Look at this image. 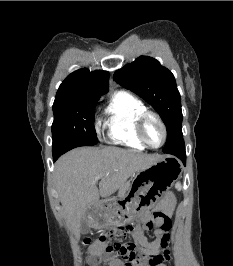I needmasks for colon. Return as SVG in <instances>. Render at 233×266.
I'll return each mask as SVG.
<instances>
[{"instance_id": "colon-1", "label": "colon", "mask_w": 233, "mask_h": 266, "mask_svg": "<svg viewBox=\"0 0 233 266\" xmlns=\"http://www.w3.org/2000/svg\"><path fill=\"white\" fill-rule=\"evenodd\" d=\"M156 221H159L161 223V227L163 229H167L171 225V220L166 214L161 211H155L153 212L151 218L145 223V228L148 230L152 229ZM135 228L136 227H133L132 225H125V228H120V231L110 230L106 233L100 234L95 242L106 243L109 238L117 234H132ZM85 243L89 244L90 240L87 239ZM105 256L121 258L126 262L127 266L140 265L145 262L149 263L150 266H153L159 261V259L156 257H147L139 253L133 243L123 242L107 244L105 248Z\"/></svg>"}]
</instances>
